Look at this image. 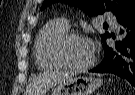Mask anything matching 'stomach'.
Segmentation results:
<instances>
[{"mask_svg":"<svg viewBox=\"0 0 135 95\" xmlns=\"http://www.w3.org/2000/svg\"><path fill=\"white\" fill-rule=\"evenodd\" d=\"M101 86V80L92 76H73L52 89L51 95H91Z\"/></svg>","mask_w":135,"mask_h":95,"instance_id":"0dacf381","label":"stomach"}]
</instances>
